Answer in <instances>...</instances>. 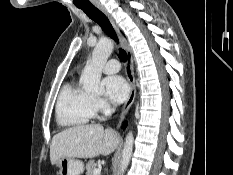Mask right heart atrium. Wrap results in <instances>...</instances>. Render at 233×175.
<instances>
[{
	"label": "right heart atrium",
	"instance_id": "d8ad5b80",
	"mask_svg": "<svg viewBox=\"0 0 233 175\" xmlns=\"http://www.w3.org/2000/svg\"><path fill=\"white\" fill-rule=\"evenodd\" d=\"M93 103H94L95 110L98 112L106 113L110 110L109 103L101 97H94Z\"/></svg>",
	"mask_w": 233,
	"mask_h": 175
}]
</instances>
